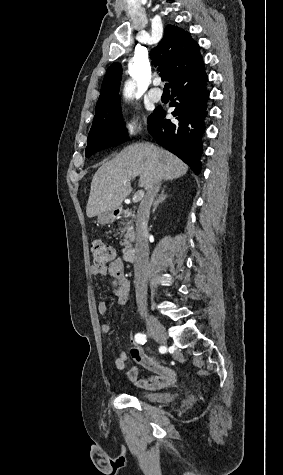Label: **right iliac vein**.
<instances>
[{
  "mask_svg": "<svg viewBox=\"0 0 283 475\" xmlns=\"http://www.w3.org/2000/svg\"><path fill=\"white\" fill-rule=\"evenodd\" d=\"M146 327L150 335L157 341H165L166 340V330L164 325L155 317L149 316L145 319Z\"/></svg>",
  "mask_w": 283,
  "mask_h": 475,
  "instance_id": "1",
  "label": "right iliac vein"
}]
</instances>
